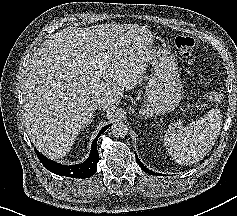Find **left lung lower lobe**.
I'll list each match as a JSON object with an SVG mask.
<instances>
[{
	"label": "left lung lower lobe",
	"mask_w": 237,
	"mask_h": 216,
	"mask_svg": "<svg viewBox=\"0 0 237 216\" xmlns=\"http://www.w3.org/2000/svg\"><path fill=\"white\" fill-rule=\"evenodd\" d=\"M135 157H136L137 163L139 164V166L141 167V169H142L143 171H145V172H147V173H149V174H151V175H161V174L155 173V172H153V171H150L148 168H146V167L140 162V160H139V158H138V156H137L136 153H135Z\"/></svg>",
	"instance_id": "1"
}]
</instances>
